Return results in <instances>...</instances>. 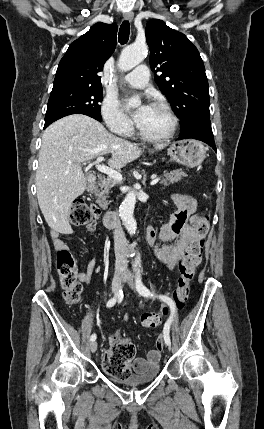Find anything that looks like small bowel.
Returning <instances> with one entry per match:
<instances>
[{"label":"small bowel","mask_w":264,"mask_h":429,"mask_svg":"<svg viewBox=\"0 0 264 429\" xmlns=\"http://www.w3.org/2000/svg\"><path fill=\"white\" fill-rule=\"evenodd\" d=\"M173 200L177 205V211L172 216L169 223L162 228L157 229L148 227L146 229V238L150 247L153 249L156 258L167 266L168 269H173L178 261L184 255L187 248L201 240L202 234L194 227L188 224L189 217L195 212L197 207L196 200L188 194H175ZM89 231H94L96 221H91L87 226ZM72 229L67 228L63 234H71ZM60 232H52V240L57 250L67 249L66 244L60 238ZM96 268L95 263H90L86 269L79 274V280L86 285H89L92 279V274ZM126 317V316H125ZM120 339L119 337H116ZM108 350L106 354H110ZM160 361V350L152 349L148 352L146 358H136L129 364L130 371L136 373H144L149 368L158 365Z\"/></svg>","instance_id":"c3829d8e"}]
</instances>
